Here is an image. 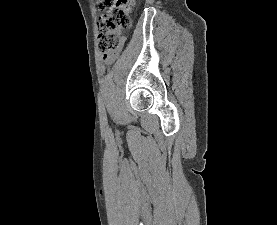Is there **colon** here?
<instances>
[{
	"instance_id": "obj_1",
	"label": "colon",
	"mask_w": 277,
	"mask_h": 225,
	"mask_svg": "<svg viewBox=\"0 0 277 225\" xmlns=\"http://www.w3.org/2000/svg\"><path fill=\"white\" fill-rule=\"evenodd\" d=\"M98 49L105 55L117 53L123 45L122 31L130 26L135 0H97Z\"/></svg>"
}]
</instances>
